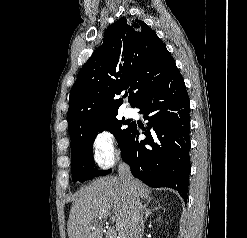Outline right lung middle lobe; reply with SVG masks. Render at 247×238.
I'll use <instances>...</instances> for the list:
<instances>
[{"label":"right lung middle lobe","mask_w":247,"mask_h":238,"mask_svg":"<svg viewBox=\"0 0 247 238\" xmlns=\"http://www.w3.org/2000/svg\"><path fill=\"white\" fill-rule=\"evenodd\" d=\"M127 124L124 120H118L113 117L101 124H98L87 130L75 144L71 146V170L72 180L84 182L93 177L106 175L111 170H95L92 166L93 161V142L98 132L107 129L116 137L120 148L122 149L126 137L130 131L128 128L123 129L122 125Z\"/></svg>","instance_id":"right-lung-middle-lobe-1"}]
</instances>
